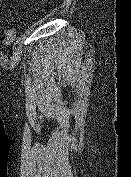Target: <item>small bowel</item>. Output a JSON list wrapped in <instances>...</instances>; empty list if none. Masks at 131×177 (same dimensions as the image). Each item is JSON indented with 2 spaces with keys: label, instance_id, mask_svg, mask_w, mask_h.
Here are the masks:
<instances>
[{
  "label": "small bowel",
  "instance_id": "obj_1",
  "mask_svg": "<svg viewBox=\"0 0 131 177\" xmlns=\"http://www.w3.org/2000/svg\"><path fill=\"white\" fill-rule=\"evenodd\" d=\"M3 1H4V0H0V8H1V6H2Z\"/></svg>",
  "mask_w": 131,
  "mask_h": 177
}]
</instances>
